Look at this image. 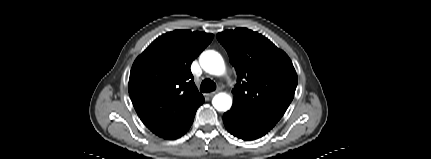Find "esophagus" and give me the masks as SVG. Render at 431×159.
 <instances>
[{"label":"esophagus","mask_w":431,"mask_h":159,"mask_svg":"<svg viewBox=\"0 0 431 159\" xmlns=\"http://www.w3.org/2000/svg\"><path fill=\"white\" fill-rule=\"evenodd\" d=\"M218 91L209 92L206 94L208 97H213Z\"/></svg>","instance_id":"obj_1"}]
</instances>
